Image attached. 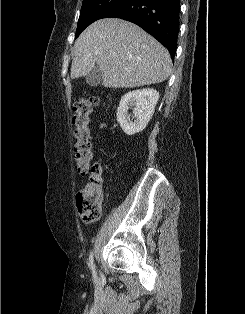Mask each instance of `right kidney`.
Masks as SVG:
<instances>
[{"label":"right kidney","mask_w":245,"mask_h":314,"mask_svg":"<svg viewBox=\"0 0 245 314\" xmlns=\"http://www.w3.org/2000/svg\"><path fill=\"white\" fill-rule=\"evenodd\" d=\"M159 93L150 88L130 91L120 100L117 109V121L127 135H134L141 132L150 121ZM129 106H133L134 121L128 116Z\"/></svg>","instance_id":"obj_1"}]
</instances>
